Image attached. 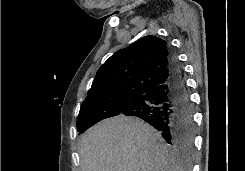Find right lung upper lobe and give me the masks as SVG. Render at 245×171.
Segmentation results:
<instances>
[{
	"instance_id": "cb5924a9",
	"label": "right lung upper lobe",
	"mask_w": 245,
	"mask_h": 171,
	"mask_svg": "<svg viewBox=\"0 0 245 171\" xmlns=\"http://www.w3.org/2000/svg\"><path fill=\"white\" fill-rule=\"evenodd\" d=\"M169 47L156 36H145L114 53L99 68L84 102L118 95H144L169 78Z\"/></svg>"
}]
</instances>
